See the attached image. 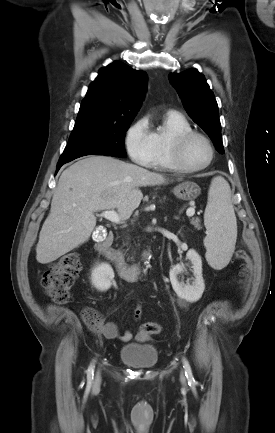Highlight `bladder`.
Segmentation results:
<instances>
[{"instance_id":"1","label":"bladder","mask_w":275,"mask_h":433,"mask_svg":"<svg viewBox=\"0 0 275 433\" xmlns=\"http://www.w3.org/2000/svg\"><path fill=\"white\" fill-rule=\"evenodd\" d=\"M119 359L132 367L150 368L157 364L158 350L150 344L132 342L122 346Z\"/></svg>"}]
</instances>
